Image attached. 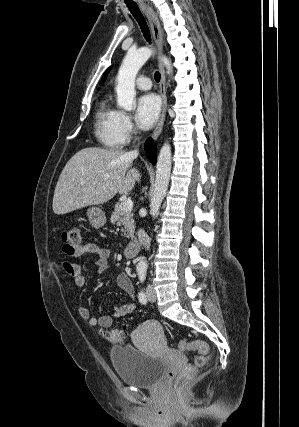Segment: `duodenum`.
Returning <instances> with one entry per match:
<instances>
[{"label": "duodenum", "instance_id": "1", "mask_svg": "<svg viewBox=\"0 0 299 427\" xmlns=\"http://www.w3.org/2000/svg\"><path fill=\"white\" fill-rule=\"evenodd\" d=\"M138 250H139V242L138 240L134 239L127 244V246L124 249L123 255L126 258H133L136 256Z\"/></svg>", "mask_w": 299, "mask_h": 427}]
</instances>
